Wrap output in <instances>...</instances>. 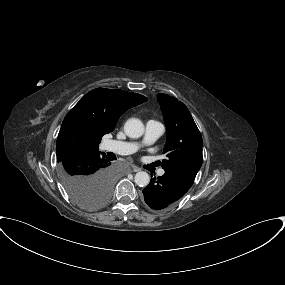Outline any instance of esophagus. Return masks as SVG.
<instances>
[{
  "instance_id": "esophagus-1",
  "label": "esophagus",
  "mask_w": 285,
  "mask_h": 285,
  "mask_svg": "<svg viewBox=\"0 0 285 285\" xmlns=\"http://www.w3.org/2000/svg\"><path fill=\"white\" fill-rule=\"evenodd\" d=\"M133 172H139L141 169L137 166H132Z\"/></svg>"
}]
</instances>
